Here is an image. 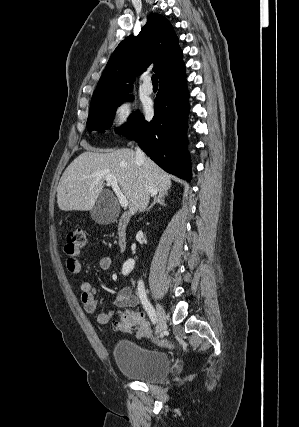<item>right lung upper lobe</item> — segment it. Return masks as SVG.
Segmentation results:
<instances>
[{"label": "right lung upper lobe", "instance_id": "1", "mask_svg": "<svg viewBox=\"0 0 299 427\" xmlns=\"http://www.w3.org/2000/svg\"><path fill=\"white\" fill-rule=\"evenodd\" d=\"M151 63L159 81L185 69L173 27L157 13L149 16L137 37L125 38L114 50L92 101L131 91L135 74H141Z\"/></svg>", "mask_w": 299, "mask_h": 427}]
</instances>
